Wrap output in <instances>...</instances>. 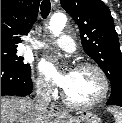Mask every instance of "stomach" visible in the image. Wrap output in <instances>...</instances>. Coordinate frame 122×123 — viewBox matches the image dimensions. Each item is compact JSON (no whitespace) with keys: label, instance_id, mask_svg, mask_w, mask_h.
Returning a JSON list of instances; mask_svg holds the SVG:
<instances>
[{"label":"stomach","instance_id":"stomach-1","mask_svg":"<svg viewBox=\"0 0 122 123\" xmlns=\"http://www.w3.org/2000/svg\"><path fill=\"white\" fill-rule=\"evenodd\" d=\"M62 123H102L101 118L94 112L82 110L78 112L77 116L67 115L61 117Z\"/></svg>","mask_w":122,"mask_h":123}]
</instances>
